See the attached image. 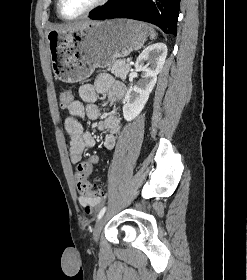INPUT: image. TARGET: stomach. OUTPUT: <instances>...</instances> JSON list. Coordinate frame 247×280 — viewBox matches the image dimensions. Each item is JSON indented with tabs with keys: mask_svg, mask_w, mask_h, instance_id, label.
Here are the masks:
<instances>
[{
	"mask_svg": "<svg viewBox=\"0 0 247 280\" xmlns=\"http://www.w3.org/2000/svg\"><path fill=\"white\" fill-rule=\"evenodd\" d=\"M147 35L145 23L129 19L97 21L75 31L52 30L47 41L55 77L80 82L95 68L111 66L118 58L140 49Z\"/></svg>",
	"mask_w": 247,
	"mask_h": 280,
	"instance_id": "stomach-1",
	"label": "stomach"
}]
</instances>
